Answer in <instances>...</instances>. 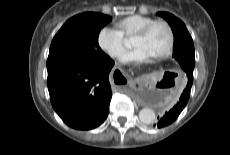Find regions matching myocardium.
I'll return each instance as SVG.
<instances>
[{"instance_id": "myocardium-1", "label": "myocardium", "mask_w": 230, "mask_h": 155, "mask_svg": "<svg viewBox=\"0 0 230 155\" xmlns=\"http://www.w3.org/2000/svg\"><path fill=\"white\" fill-rule=\"evenodd\" d=\"M157 24L164 25L165 28L167 29L168 35H169L168 45L165 48V50L154 57L155 59L159 60V59H163V58L168 57L172 53V51L174 49V46H175L174 30H173L172 26L170 25V23L168 21H166L164 19L153 20L150 23L146 24L142 29H140L134 36L135 37H144V36H146L151 31V29Z\"/></svg>"}]
</instances>
